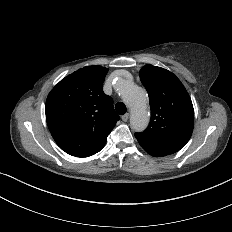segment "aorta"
Returning <instances> with one entry per match:
<instances>
[{"label": "aorta", "mask_w": 232, "mask_h": 232, "mask_svg": "<svg viewBox=\"0 0 232 232\" xmlns=\"http://www.w3.org/2000/svg\"><path fill=\"white\" fill-rule=\"evenodd\" d=\"M115 89L130 108L132 129L137 132L143 131L149 123L147 93L126 79H118Z\"/></svg>", "instance_id": "762f6f07"}]
</instances>
